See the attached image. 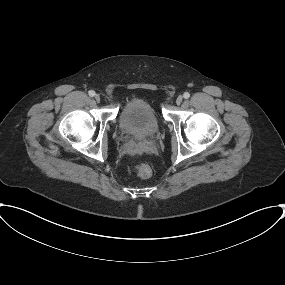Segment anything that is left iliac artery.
<instances>
[{"label":"left iliac artery","instance_id":"44dca946","mask_svg":"<svg viewBox=\"0 0 285 285\" xmlns=\"http://www.w3.org/2000/svg\"><path fill=\"white\" fill-rule=\"evenodd\" d=\"M183 97H184L185 99H188V98L190 97V94H189L188 92H185V93L183 94Z\"/></svg>","mask_w":285,"mask_h":285}]
</instances>
